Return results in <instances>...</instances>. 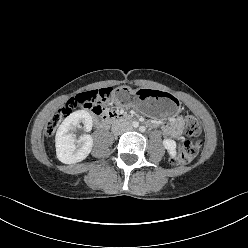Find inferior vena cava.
I'll list each match as a JSON object with an SVG mask.
<instances>
[{"mask_svg": "<svg viewBox=\"0 0 248 248\" xmlns=\"http://www.w3.org/2000/svg\"><path fill=\"white\" fill-rule=\"evenodd\" d=\"M132 127L128 124H115L112 127V131L114 134H118L127 130H130Z\"/></svg>", "mask_w": 248, "mask_h": 248, "instance_id": "602c4592", "label": "inferior vena cava"}]
</instances>
